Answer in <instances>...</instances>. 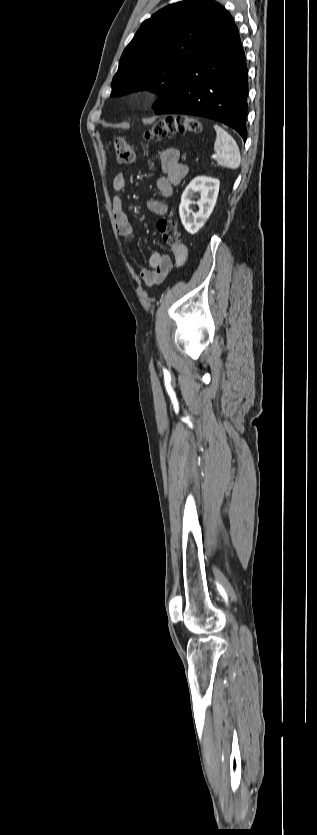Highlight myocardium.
Returning a JSON list of instances; mask_svg holds the SVG:
<instances>
[{"mask_svg":"<svg viewBox=\"0 0 317 835\" xmlns=\"http://www.w3.org/2000/svg\"><path fill=\"white\" fill-rule=\"evenodd\" d=\"M135 95L138 99H143V98L146 97L147 93L143 90H139V91L136 92Z\"/></svg>","mask_w":317,"mask_h":835,"instance_id":"f54148a6","label":"myocardium"}]
</instances>
